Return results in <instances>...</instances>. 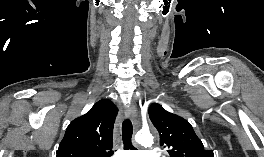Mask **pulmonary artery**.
<instances>
[{
    "mask_svg": "<svg viewBox=\"0 0 264 157\" xmlns=\"http://www.w3.org/2000/svg\"><path fill=\"white\" fill-rule=\"evenodd\" d=\"M157 157L153 151L151 150H139V151H127L123 152L120 156L118 157Z\"/></svg>",
    "mask_w": 264,
    "mask_h": 157,
    "instance_id": "e3ab8cb5",
    "label": "pulmonary artery"
}]
</instances>
